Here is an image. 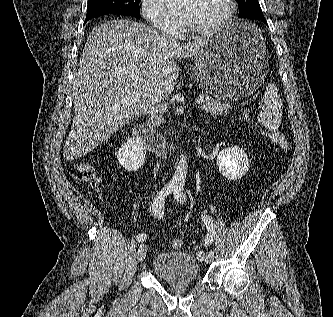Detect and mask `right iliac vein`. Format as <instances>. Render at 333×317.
<instances>
[{
	"instance_id": "1",
	"label": "right iliac vein",
	"mask_w": 333,
	"mask_h": 317,
	"mask_svg": "<svg viewBox=\"0 0 333 317\" xmlns=\"http://www.w3.org/2000/svg\"><path fill=\"white\" fill-rule=\"evenodd\" d=\"M146 254H147V247L144 244L140 245L137 251L138 262H142L145 259Z\"/></svg>"
}]
</instances>
